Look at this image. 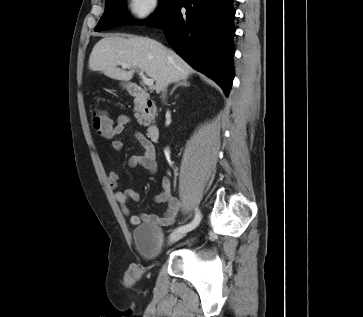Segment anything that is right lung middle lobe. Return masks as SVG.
<instances>
[{"instance_id": "right-lung-middle-lobe-1", "label": "right lung middle lobe", "mask_w": 363, "mask_h": 317, "mask_svg": "<svg viewBox=\"0 0 363 317\" xmlns=\"http://www.w3.org/2000/svg\"><path fill=\"white\" fill-rule=\"evenodd\" d=\"M124 1L125 0L105 1V11L97 26L95 27V31H103L115 28L130 22L124 10ZM172 2L173 0H160V5L157 12L154 13L147 21L139 24L143 25L147 22H153L154 20L158 19L168 9Z\"/></svg>"}]
</instances>
